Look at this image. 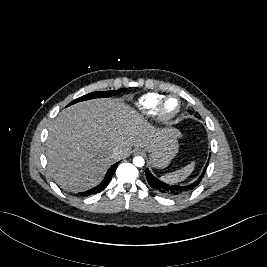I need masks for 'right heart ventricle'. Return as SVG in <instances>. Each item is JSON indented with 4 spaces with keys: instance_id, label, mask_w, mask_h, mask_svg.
Masks as SVG:
<instances>
[{
    "instance_id": "1",
    "label": "right heart ventricle",
    "mask_w": 267,
    "mask_h": 267,
    "mask_svg": "<svg viewBox=\"0 0 267 267\" xmlns=\"http://www.w3.org/2000/svg\"><path fill=\"white\" fill-rule=\"evenodd\" d=\"M162 97L163 95L159 93H147L138 99L136 105L142 113L146 115H153L155 113L156 106Z\"/></svg>"
}]
</instances>
